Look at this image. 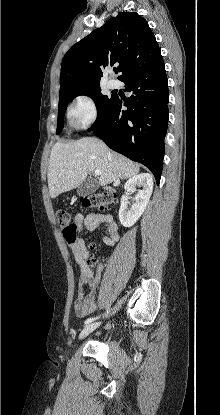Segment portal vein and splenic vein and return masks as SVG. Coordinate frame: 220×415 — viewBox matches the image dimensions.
Returning <instances> with one entry per match:
<instances>
[{
  "label": "portal vein and splenic vein",
  "mask_w": 220,
  "mask_h": 415,
  "mask_svg": "<svg viewBox=\"0 0 220 415\" xmlns=\"http://www.w3.org/2000/svg\"><path fill=\"white\" fill-rule=\"evenodd\" d=\"M101 173H102V172H101L100 170H96V171H95V175H96V176H100V175H101Z\"/></svg>",
  "instance_id": "portal-vein-and-splenic-vein-1"
}]
</instances>
